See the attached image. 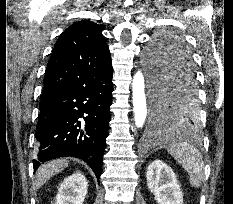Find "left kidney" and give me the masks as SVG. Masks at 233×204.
<instances>
[{"label": "left kidney", "instance_id": "obj_1", "mask_svg": "<svg viewBox=\"0 0 233 204\" xmlns=\"http://www.w3.org/2000/svg\"><path fill=\"white\" fill-rule=\"evenodd\" d=\"M147 186L159 204H183V194L176 175L166 163L153 161L146 172Z\"/></svg>", "mask_w": 233, "mask_h": 204}]
</instances>
